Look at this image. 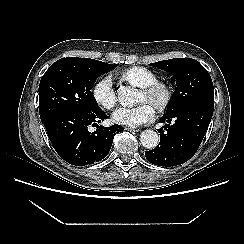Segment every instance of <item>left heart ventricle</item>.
Here are the masks:
<instances>
[{"label":"left heart ventricle","instance_id":"obj_1","mask_svg":"<svg viewBox=\"0 0 244 244\" xmlns=\"http://www.w3.org/2000/svg\"><path fill=\"white\" fill-rule=\"evenodd\" d=\"M140 101L141 102L147 101L146 96L143 93H141V95H140Z\"/></svg>","mask_w":244,"mask_h":244}]
</instances>
